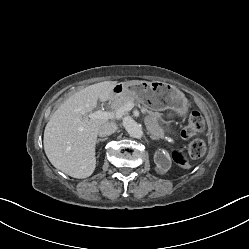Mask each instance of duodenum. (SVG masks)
<instances>
[{
	"label": "duodenum",
	"mask_w": 249,
	"mask_h": 249,
	"mask_svg": "<svg viewBox=\"0 0 249 249\" xmlns=\"http://www.w3.org/2000/svg\"><path fill=\"white\" fill-rule=\"evenodd\" d=\"M114 95H115V94H114V93L112 92V90H111V92H110L109 95H108V99L112 98Z\"/></svg>",
	"instance_id": "410a0bca"
}]
</instances>
